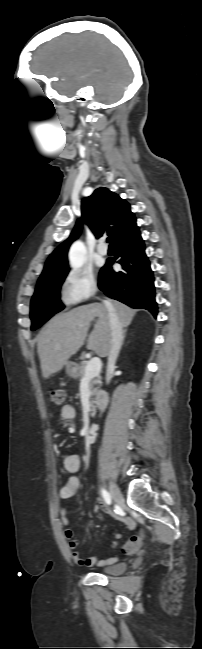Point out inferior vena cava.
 <instances>
[{"mask_svg": "<svg viewBox=\"0 0 202 649\" xmlns=\"http://www.w3.org/2000/svg\"><path fill=\"white\" fill-rule=\"evenodd\" d=\"M104 305L108 309L109 324L111 330V341H110V350L108 353L107 377H106L108 381L115 368L116 359L121 348L122 338H123V327L112 304L109 301H104Z\"/></svg>", "mask_w": 202, "mask_h": 649, "instance_id": "1", "label": "inferior vena cava"}]
</instances>
